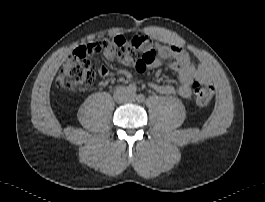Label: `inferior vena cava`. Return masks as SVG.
I'll return each instance as SVG.
<instances>
[{
  "instance_id": "inferior-vena-cava-1",
  "label": "inferior vena cava",
  "mask_w": 265,
  "mask_h": 202,
  "mask_svg": "<svg viewBox=\"0 0 265 202\" xmlns=\"http://www.w3.org/2000/svg\"><path fill=\"white\" fill-rule=\"evenodd\" d=\"M128 91L125 87H119L114 93V99L117 102H125L128 99Z\"/></svg>"
}]
</instances>
